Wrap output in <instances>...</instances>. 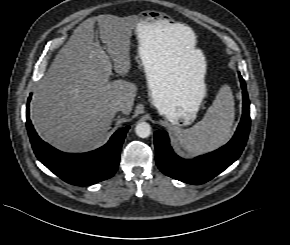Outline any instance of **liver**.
<instances>
[{"label": "liver", "instance_id": "1", "mask_svg": "<svg viewBox=\"0 0 290 245\" xmlns=\"http://www.w3.org/2000/svg\"><path fill=\"white\" fill-rule=\"evenodd\" d=\"M96 21L108 55L94 41ZM134 26L130 18L100 15L83 21L74 30L34 89L30 116L43 140L63 151H86L101 143L110 129L115 101L123 103V114H130L137 87L122 79L109 82L105 59L113 61L117 74L129 73ZM164 30L163 37L175 55L184 66L191 67L193 54L201 51L194 49L190 29L167 23Z\"/></svg>", "mask_w": 290, "mask_h": 245}]
</instances>
